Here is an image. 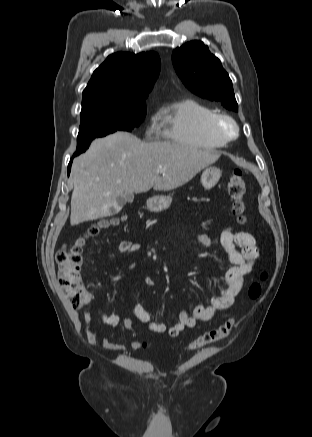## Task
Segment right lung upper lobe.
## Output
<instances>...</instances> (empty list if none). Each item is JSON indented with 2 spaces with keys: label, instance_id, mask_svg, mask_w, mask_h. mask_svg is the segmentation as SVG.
I'll list each match as a JSON object with an SVG mask.
<instances>
[{
  "label": "right lung upper lobe",
  "instance_id": "cb5924a9",
  "mask_svg": "<svg viewBox=\"0 0 312 437\" xmlns=\"http://www.w3.org/2000/svg\"><path fill=\"white\" fill-rule=\"evenodd\" d=\"M159 72L160 58L155 52L112 54L93 72L83 91L82 109L146 106Z\"/></svg>",
  "mask_w": 312,
  "mask_h": 437
}]
</instances>
